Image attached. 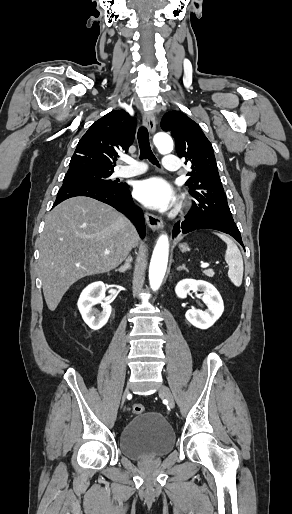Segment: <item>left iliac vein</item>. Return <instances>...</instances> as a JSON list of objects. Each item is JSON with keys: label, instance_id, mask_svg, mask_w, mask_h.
<instances>
[{"label": "left iliac vein", "instance_id": "4c4485c4", "mask_svg": "<svg viewBox=\"0 0 292 514\" xmlns=\"http://www.w3.org/2000/svg\"><path fill=\"white\" fill-rule=\"evenodd\" d=\"M159 393L167 400V402L171 408L175 407V401H174L173 395L167 386L161 385L159 388Z\"/></svg>", "mask_w": 292, "mask_h": 514}]
</instances>
